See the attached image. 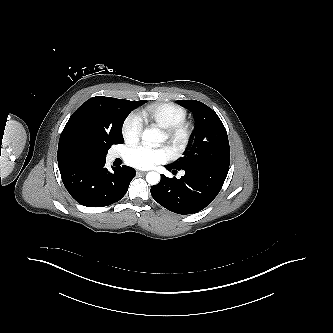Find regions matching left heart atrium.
Here are the masks:
<instances>
[{"instance_id":"left-heart-atrium-1","label":"left heart atrium","mask_w":333,"mask_h":333,"mask_svg":"<svg viewBox=\"0 0 333 333\" xmlns=\"http://www.w3.org/2000/svg\"><path fill=\"white\" fill-rule=\"evenodd\" d=\"M124 157L129 165L139 169H148L167 161L169 153L164 148L155 149L140 145L127 149Z\"/></svg>"}]
</instances>
